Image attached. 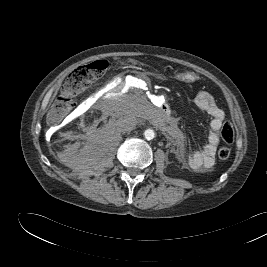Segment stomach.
I'll use <instances>...</instances> for the list:
<instances>
[{
	"label": "stomach",
	"mask_w": 267,
	"mask_h": 267,
	"mask_svg": "<svg viewBox=\"0 0 267 267\" xmlns=\"http://www.w3.org/2000/svg\"><path fill=\"white\" fill-rule=\"evenodd\" d=\"M175 78L186 82H194L197 79V76L191 72H177L175 73Z\"/></svg>",
	"instance_id": "stomach-1"
}]
</instances>
